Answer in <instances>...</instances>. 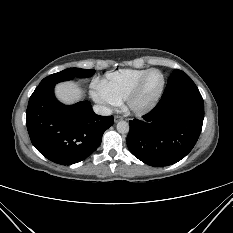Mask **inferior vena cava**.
<instances>
[{
  "label": "inferior vena cava",
  "instance_id": "602c4592",
  "mask_svg": "<svg viewBox=\"0 0 233 233\" xmlns=\"http://www.w3.org/2000/svg\"><path fill=\"white\" fill-rule=\"evenodd\" d=\"M93 110L98 115H102V116H109V115H111V110L108 107H106V106L94 105L93 106Z\"/></svg>",
  "mask_w": 233,
  "mask_h": 233
}]
</instances>
